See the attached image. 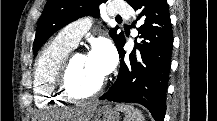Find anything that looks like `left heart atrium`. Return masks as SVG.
<instances>
[{"mask_svg":"<svg viewBox=\"0 0 217 121\" xmlns=\"http://www.w3.org/2000/svg\"><path fill=\"white\" fill-rule=\"evenodd\" d=\"M87 57L98 69L102 77L107 75L115 64L114 51L106 44L96 45Z\"/></svg>","mask_w":217,"mask_h":121,"instance_id":"39dd6f15","label":"left heart atrium"}]
</instances>
